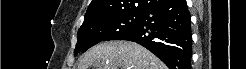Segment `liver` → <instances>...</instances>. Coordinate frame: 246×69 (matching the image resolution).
Returning a JSON list of instances; mask_svg holds the SVG:
<instances>
[{
  "instance_id": "liver-1",
  "label": "liver",
  "mask_w": 246,
  "mask_h": 69,
  "mask_svg": "<svg viewBox=\"0 0 246 69\" xmlns=\"http://www.w3.org/2000/svg\"><path fill=\"white\" fill-rule=\"evenodd\" d=\"M166 69L150 51L133 42L111 41L89 49L78 69Z\"/></svg>"
}]
</instances>
